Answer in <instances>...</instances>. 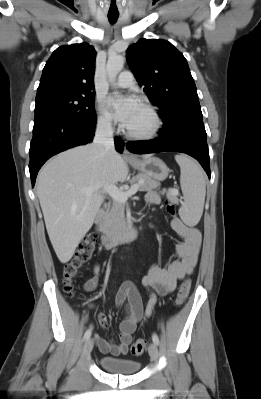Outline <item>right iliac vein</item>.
Instances as JSON below:
<instances>
[{
	"mask_svg": "<svg viewBox=\"0 0 261 399\" xmlns=\"http://www.w3.org/2000/svg\"><path fill=\"white\" fill-rule=\"evenodd\" d=\"M93 345H94V343H93L92 339H88L85 342L84 347H83V351H82V357L85 358V357L89 356L90 352L93 349Z\"/></svg>",
	"mask_w": 261,
	"mask_h": 399,
	"instance_id": "obj_1",
	"label": "right iliac vein"
}]
</instances>
